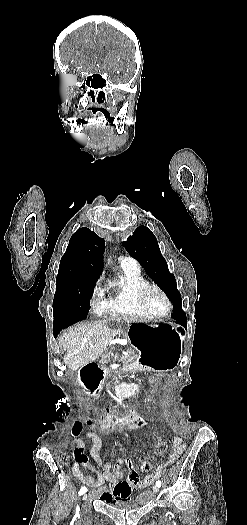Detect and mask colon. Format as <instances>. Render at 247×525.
I'll list each match as a JSON object with an SVG mask.
<instances>
[{
  "label": "colon",
  "mask_w": 247,
  "mask_h": 525,
  "mask_svg": "<svg viewBox=\"0 0 247 525\" xmlns=\"http://www.w3.org/2000/svg\"><path fill=\"white\" fill-rule=\"evenodd\" d=\"M146 386L148 388H151L153 386V383L151 381H148L146 383ZM155 386H158V383H155ZM156 398H161V395H156ZM144 408L146 410H149L151 408V405L149 403H146L144 405ZM154 408H157V405H154ZM146 414H141V419H146ZM152 424V419L142 420V423H140V420L138 418L134 417H105V418H97L93 419L92 421H89V424H92L93 426L97 427H103V430L111 431V432H133L135 430V427L137 429L144 428L145 424ZM72 435L74 437H79L81 435V430L79 428H74L72 430ZM166 446L165 444L161 443L158 446V451L163 452L165 450ZM140 469L142 472H148L151 470V462L146 460L144 461Z\"/></svg>",
  "instance_id": "1"
}]
</instances>
